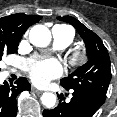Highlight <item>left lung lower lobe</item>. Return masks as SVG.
Here are the masks:
<instances>
[{"label": "left lung lower lobe", "mask_w": 117, "mask_h": 117, "mask_svg": "<svg viewBox=\"0 0 117 117\" xmlns=\"http://www.w3.org/2000/svg\"><path fill=\"white\" fill-rule=\"evenodd\" d=\"M72 95L69 103L60 96L58 106L52 110H44L43 117H92L102 105L81 91L74 90Z\"/></svg>", "instance_id": "left-lung-lower-lobe-1"}]
</instances>
